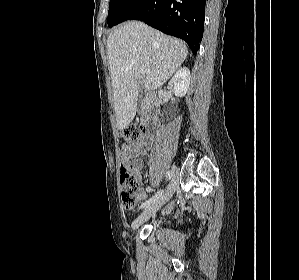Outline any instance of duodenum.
I'll return each mask as SVG.
<instances>
[{
    "mask_svg": "<svg viewBox=\"0 0 299 280\" xmlns=\"http://www.w3.org/2000/svg\"><path fill=\"white\" fill-rule=\"evenodd\" d=\"M158 99L149 93L143 101V129L147 133H153L157 129Z\"/></svg>",
    "mask_w": 299,
    "mask_h": 280,
    "instance_id": "1",
    "label": "duodenum"
}]
</instances>
